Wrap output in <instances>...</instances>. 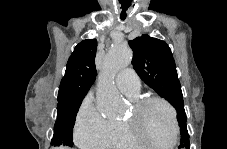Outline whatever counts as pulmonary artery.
I'll return each instance as SVG.
<instances>
[{
    "instance_id": "1",
    "label": "pulmonary artery",
    "mask_w": 227,
    "mask_h": 149,
    "mask_svg": "<svg viewBox=\"0 0 227 149\" xmlns=\"http://www.w3.org/2000/svg\"><path fill=\"white\" fill-rule=\"evenodd\" d=\"M116 85L123 94L130 98L137 97L141 88L138 75L130 68L123 69L117 74Z\"/></svg>"
}]
</instances>
